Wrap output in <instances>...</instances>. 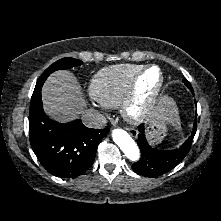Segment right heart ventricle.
I'll use <instances>...</instances> for the list:
<instances>
[{
	"mask_svg": "<svg viewBox=\"0 0 221 221\" xmlns=\"http://www.w3.org/2000/svg\"><path fill=\"white\" fill-rule=\"evenodd\" d=\"M141 68L136 64H119L101 69L90 81L89 95L107 107H119L133 76Z\"/></svg>",
	"mask_w": 221,
	"mask_h": 221,
	"instance_id": "obj_1",
	"label": "right heart ventricle"
}]
</instances>
